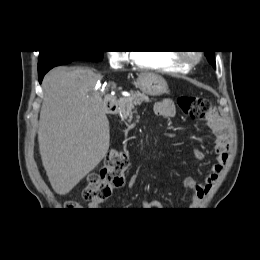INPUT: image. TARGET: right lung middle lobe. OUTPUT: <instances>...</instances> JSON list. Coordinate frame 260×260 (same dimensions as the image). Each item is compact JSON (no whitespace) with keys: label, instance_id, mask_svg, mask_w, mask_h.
Instances as JSON below:
<instances>
[{"label":"right lung middle lobe","instance_id":"1","mask_svg":"<svg viewBox=\"0 0 260 260\" xmlns=\"http://www.w3.org/2000/svg\"><path fill=\"white\" fill-rule=\"evenodd\" d=\"M103 58V51H40L38 73L72 61L98 62Z\"/></svg>","mask_w":260,"mask_h":260}]
</instances>
